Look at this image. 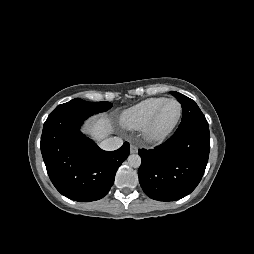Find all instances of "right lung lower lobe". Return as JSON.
I'll list each match as a JSON object with an SVG mask.
<instances>
[{
	"label": "right lung lower lobe",
	"instance_id": "right-lung-lower-lobe-1",
	"mask_svg": "<svg viewBox=\"0 0 254 254\" xmlns=\"http://www.w3.org/2000/svg\"><path fill=\"white\" fill-rule=\"evenodd\" d=\"M93 114L56 108L44 123L41 136V153L50 180L62 195L79 202L104 197L130 152L127 142L118 150L104 151L81 133V124Z\"/></svg>",
	"mask_w": 254,
	"mask_h": 254
}]
</instances>
